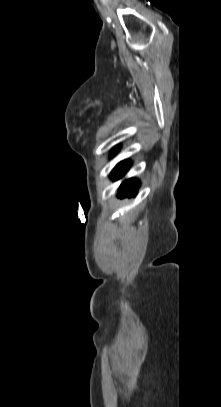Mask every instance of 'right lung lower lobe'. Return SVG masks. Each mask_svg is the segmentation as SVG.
Listing matches in <instances>:
<instances>
[{
    "label": "right lung lower lobe",
    "instance_id": "1",
    "mask_svg": "<svg viewBox=\"0 0 221 407\" xmlns=\"http://www.w3.org/2000/svg\"><path fill=\"white\" fill-rule=\"evenodd\" d=\"M130 166V161H122L119 163L112 171L113 180L123 177ZM139 186L140 182L137 179L132 178L124 181L119 188L120 197L135 195Z\"/></svg>",
    "mask_w": 221,
    "mask_h": 407
}]
</instances>
